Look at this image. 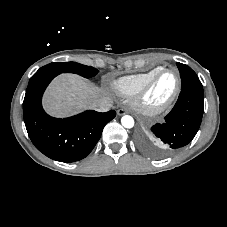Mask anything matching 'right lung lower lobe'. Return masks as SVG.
Segmentation results:
<instances>
[{
  "mask_svg": "<svg viewBox=\"0 0 227 227\" xmlns=\"http://www.w3.org/2000/svg\"><path fill=\"white\" fill-rule=\"evenodd\" d=\"M56 76L42 74L31 77L23 101L24 122L32 143L40 152L56 161L75 162L92 151L104 126L116 116V112L88 110L65 119L50 117L43 110L41 99Z\"/></svg>",
  "mask_w": 227,
  "mask_h": 227,
  "instance_id": "right-lung-lower-lobe-1",
  "label": "right lung lower lobe"
}]
</instances>
